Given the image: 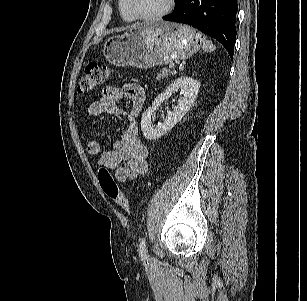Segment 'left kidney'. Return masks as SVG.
<instances>
[{"instance_id": "left-kidney-1", "label": "left kidney", "mask_w": 307, "mask_h": 301, "mask_svg": "<svg viewBox=\"0 0 307 301\" xmlns=\"http://www.w3.org/2000/svg\"><path fill=\"white\" fill-rule=\"evenodd\" d=\"M200 83L189 76H181L175 79L163 93L158 95L152 106H150L142 115L141 129L143 135L147 140H155L164 136L170 131L190 110L194 100L198 95ZM181 90V97L178 101L177 106L173 107L172 112L163 119V122L158 124L156 127L152 126L151 117L161 103L171 97V95Z\"/></svg>"}]
</instances>
